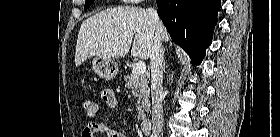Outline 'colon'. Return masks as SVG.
Instances as JSON below:
<instances>
[{"mask_svg": "<svg viewBox=\"0 0 280 137\" xmlns=\"http://www.w3.org/2000/svg\"><path fill=\"white\" fill-rule=\"evenodd\" d=\"M103 98L105 101H111L115 98V94L110 91L103 92ZM82 109L88 116H95L99 112V105L96 101L93 100H83ZM98 134L91 135V137H97Z\"/></svg>", "mask_w": 280, "mask_h": 137, "instance_id": "5ec220e1", "label": "colon"}]
</instances>
